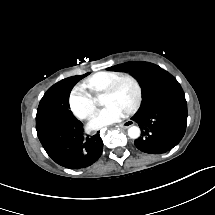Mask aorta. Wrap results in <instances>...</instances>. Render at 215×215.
I'll list each match as a JSON object with an SVG mask.
<instances>
[{
	"mask_svg": "<svg viewBox=\"0 0 215 215\" xmlns=\"http://www.w3.org/2000/svg\"><path fill=\"white\" fill-rule=\"evenodd\" d=\"M128 135L132 139L138 138L139 135H140V129H139V127H137V126H130L128 128Z\"/></svg>",
	"mask_w": 215,
	"mask_h": 215,
	"instance_id": "obj_1",
	"label": "aorta"
}]
</instances>
